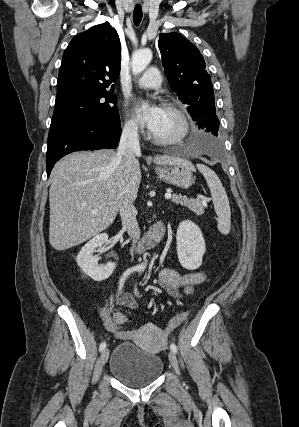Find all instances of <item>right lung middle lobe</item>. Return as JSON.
I'll list each match as a JSON object with an SVG mask.
<instances>
[{"label":"right lung middle lobe","mask_w":299,"mask_h":427,"mask_svg":"<svg viewBox=\"0 0 299 427\" xmlns=\"http://www.w3.org/2000/svg\"><path fill=\"white\" fill-rule=\"evenodd\" d=\"M115 104L116 96L108 91L83 93L56 101L51 126L76 118L120 124Z\"/></svg>","instance_id":"right-lung-middle-lobe-1"}]
</instances>
